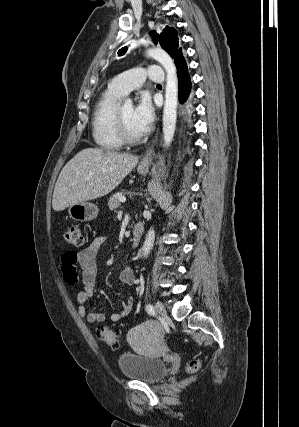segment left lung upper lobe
Returning a JSON list of instances; mask_svg holds the SVG:
<instances>
[{"label":"left lung upper lobe","instance_id":"left-lung-upper-lobe-1","mask_svg":"<svg viewBox=\"0 0 299 427\" xmlns=\"http://www.w3.org/2000/svg\"><path fill=\"white\" fill-rule=\"evenodd\" d=\"M150 35H152L155 38L154 39L155 44L159 41L161 44V47L165 49L172 58H174L176 52L179 49L178 38H177L178 34L174 28L166 26L160 35L156 34L155 31H151Z\"/></svg>","mask_w":299,"mask_h":427}]
</instances>
